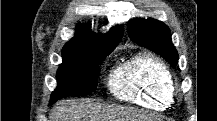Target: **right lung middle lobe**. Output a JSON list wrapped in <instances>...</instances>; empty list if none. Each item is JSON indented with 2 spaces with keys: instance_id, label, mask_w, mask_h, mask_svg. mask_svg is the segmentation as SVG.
<instances>
[{
  "instance_id": "right-lung-middle-lobe-1",
  "label": "right lung middle lobe",
  "mask_w": 217,
  "mask_h": 121,
  "mask_svg": "<svg viewBox=\"0 0 217 121\" xmlns=\"http://www.w3.org/2000/svg\"><path fill=\"white\" fill-rule=\"evenodd\" d=\"M110 52L94 44L64 47L63 63L57 70L58 86L51 94L50 105L60 97L92 93L97 87L99 64Z\"/></svg>"
}]
</instances>
